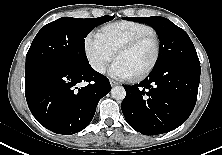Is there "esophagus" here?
I'll use <instances>...</instances> for the list:
<instances>
[{
	"label": "esophagus",
	"mask_w": 222,
	"mask_h": 155,
	"mask_svg": "<svg viewBox=\"0 0 222 155\" xmlns=\"http://www.w3.org/2000/svg\"><path fill=\"white\" fill-rule=\"evenodd\" d=\"M110 84H111V86H116V85H118V82H116L114 80H110Z\"/></svg>",
	"instance_id": "1"
}]
</instances>
